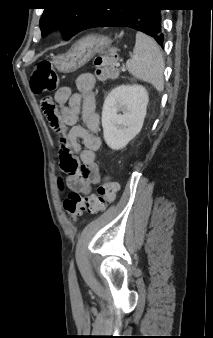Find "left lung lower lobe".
I'll return each mask as SVG.
<instances>
[{"label": "left lung lower lobe", "instance_id": "left-lung-lower-lobe-1", "mask_svg": "<svg viewBox=\"0 0 213 338\" xmlns=\"http://www.w3.org/2000/svg\"><path fill=\"white\" fill-rule=\"evenodd\" d=\"M160 10L155 7L153 0H105L86 20L81 30L125 26L150 35L162 46L164 35Z\"/></svg>", "mask_w": 213, "mask_h": 338}]
</instances>
